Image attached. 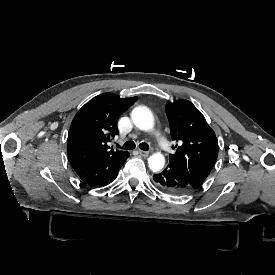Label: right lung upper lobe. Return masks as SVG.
I'll list each match as a JSON object with an SVG mask.
<instances>
[{"mask_svg": "<svg viewBox=\"0 0 275 275\" xmlns=\"http://www.w3.org/2000/svg\"><path fill=\"white\" fill-rule=\"evenodd\" d=\"M137 97L122 99L116 94H100L75 115L68 134L67 152L73 167L119 158L127 152L110 149L108 142L118 134L117 119Z\"/></svg>", "mask_w": 275, "mask_h": 275, "instance_id": "right-lung-upper-lobe-1", "label": "right lung upper lobe"}]
</instances>
